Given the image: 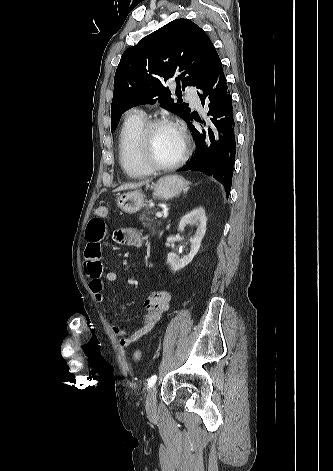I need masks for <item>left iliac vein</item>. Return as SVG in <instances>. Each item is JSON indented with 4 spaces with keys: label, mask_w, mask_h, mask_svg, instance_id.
I'll list each match as a JSON object with an SVG mask.
<instances>
[{
    "label": "left iliac vein",
    "mask_w": 333,
    "mask_h": 471,
    "mask_svg": "<svg viewBox=\"0 0 333 471\" xmlns=\"http://www.w3.org/2000/svg\"><path fill=\"white\" fill-rule=\"evenodd\" d=\"M156 411V387L152 386L146 397V412L149 416H154Z\"/></svg>",
    "instance_id": "left-iliac-vein-1"
}]
</instances>
